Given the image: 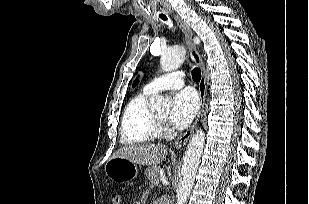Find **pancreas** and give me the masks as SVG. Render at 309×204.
Listing matches in <instances>:
<instances>
[{
  "label": "pancreas",
  "instance_id": "1",
  "mask_svg": "<svg viewBox=\"0 0 309 204\" xmlns=\"http://www.w3.org/2000/svg\"><path fill=\"white\" fill-rule=\"evenodd\" d=\"M145 175L147 176L148 180L153 183L154 185H157L159 182V173L160 168L158 166H150L145 169Z\"/></svg>",
  "mask_w": 309,
  "mask_h": 204
}]
</instances>
